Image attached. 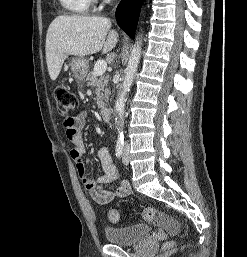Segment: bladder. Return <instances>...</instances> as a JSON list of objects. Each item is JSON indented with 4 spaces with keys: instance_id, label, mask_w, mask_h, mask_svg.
<instances>
[{
    "instance_id": "1",
    "label": "bladder",
    "mask_w": 247,
    "mask_h": 257,
    "mask_svg": "<svg viewBox=\"0 0 247 257\" xmlns=\"http://www.w3.org/2000/svg\"><path fill=\"white\" fill-rule=\"evenodd\" d=\"M105 237L111 244L128 246L135 244L150 234V227L136 224L126 227H106Z\"/></svg>"
}]
</instances>
